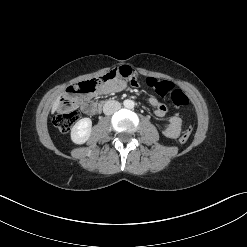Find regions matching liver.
<instances>
[{
    "instance_id": "liver-1",
    "label": "liver",
    "mask_w": 247,
    "mask_h": 247,
    "mask_svg": "<svg viewBox=\"0 0 247 247\" xmlns=\"http://www.w3.org/2000/svg\"><path fill=\"white\" fill-rule=\"evenodd\" d=\"M59 105H60V98L58 97L53 103L51 112L54 113L58 109Z\"/></svg>"
}]
</instances>
